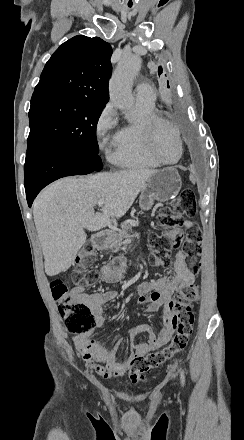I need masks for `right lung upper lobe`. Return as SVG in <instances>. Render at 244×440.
<instances>
[{"mask_svg": "<svg viewBox=\"0 0 244 440\" xmlns=\"http://www.w3.org/2000/svg\"><path fill=\"white\" fill-rule=\"evenodd\" d=\"M111 55L110 44L98 37L71 38L46 63L31 101L73 99L106 104Z\"/></svg>", "mask_w": 244, "mask_h": 440, "instance_id": "cb5924a9", "label": "right lung upper lobe"}]
</instances>
